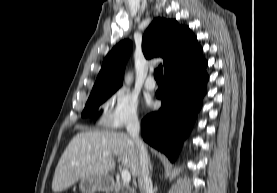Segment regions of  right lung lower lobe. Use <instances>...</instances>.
Returning a JSON list of instances; mask_svg holds the SVG:
<instances>
[{
	"mask_svg": "<svg viewBox=\"0 0 277 193\" xmlns=\"http://www.w3.org/2000/svg\"><path fill=\"white\" fill-rule=\"evenodd\" d=\"M207 62L202 48L165 72L163 85L156 92L161 108L142 122L144 141L174 161L183 139L189 134L206 93Z\"/></svg>",
	"mask_w": 277,
	"mask_h": 193,
	"instance_id": "1",
	"label": "right lung lower lobe"
}]
</instances>
